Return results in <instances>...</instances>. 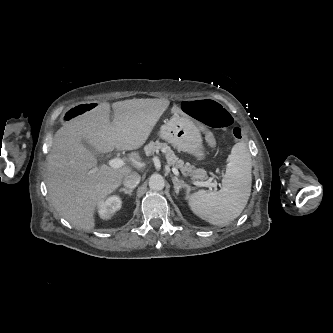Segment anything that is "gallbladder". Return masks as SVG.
I'll return each instance as SVG.
<instances>
[{
    "instance_id": "gallbladder-1",
    "label": "gallbladder",
    "mask_w": 333,
    "mask_h": 333,
    "mask_svg": "<svg viewBox=\"0 0 333 333\" xmlns=\"http://www.w3.org/2000/svg\"><path fill=\"white\" fill-rule=\"evenodd\" d=\"M82 144L87 148L89 149L90 151L92 152H96L95 149L86 141V140H82Z\"/></svg>"
}]
</instances>
